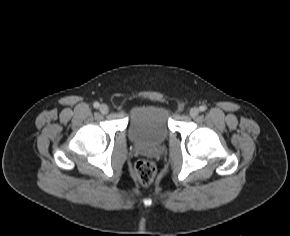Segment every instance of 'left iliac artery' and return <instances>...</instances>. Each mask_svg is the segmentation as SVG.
Masks as SVG:
<instances>
[{
  "label": "left iliac artery",
  "mask_w": 290,
  "mask_h": 236,
  "mask_svg": "<svg viewBox=\"0 0 290 236\" xmlns=\"http://www.w3.org/2000/svg\"><path fill=\"white\" fill-rule=\"evenodd\" d=\"M200 111L204 112L206 110V106L205 105H202L199 107Z\"/></svg>",
  "instance_id": "obj_1"
}]
</instances>
